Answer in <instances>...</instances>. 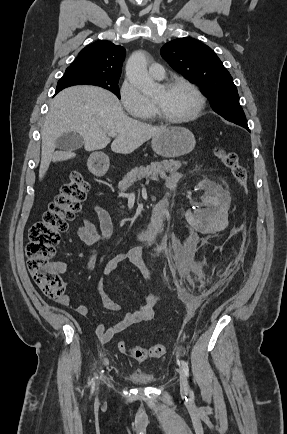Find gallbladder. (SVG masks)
<instances>
[{
    "instance_id": "gallbladder-1",
    "label": "gallbladder",
    "mask_w": 287,
    "mask_h": 434,
    "mask_svg": "<svg viewBox=\"0 0 287 434\" xmlns=\"http://www.w3.org/2000/svg\"><path fill=\"white\" fill-rule=\"evenodd\" d=\"M83 145V138L75 132L65 133L56 140V147L67 152L78 150Z\"/></svg>"
}]
</instances>
